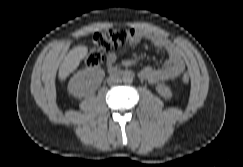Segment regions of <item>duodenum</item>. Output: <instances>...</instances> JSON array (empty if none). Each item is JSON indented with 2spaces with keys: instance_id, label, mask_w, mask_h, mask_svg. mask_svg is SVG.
I'll return each mask as SVG.
<instances>
[{
  "instance_id": "duodenum-1",
  "label": "duodenum",
  "mask_w": 243,
  "mask_h": 167,
  "mask_svg": "<svg viewBox=\"0 0 243 167\" xmlns=\"http://www.w3.org/2000/svg\"><path fill=\"white\" fill-rule=\"evenodd\" d=\"M108 72L112 75H118V74H122V73H131L130 71H124V70H121L120 68H117L114 66H109Z\"/></svg>"
}]
</instances>
